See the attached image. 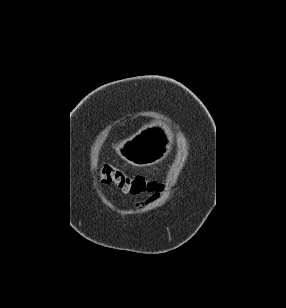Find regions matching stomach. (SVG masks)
Listing matches in <instances>:
<instances>
[{"mask_svg": "<svg viewBox=\"0 0 286 308\" xmlns=\"http://www.w3.org/2000/svg\"><path fill=\"white\" fill-rule=\"evenodd\" d=\"M148 125H167V118H148ZM168 131H141V137H123V142H113V149L127 164L146 166L156 162L160 153H170V146H158Z\"/></svg>", "mask_w": 286, "mask_h": 308, "instance_id": "stomach-1", "label": "stomach"}]
</instances>
